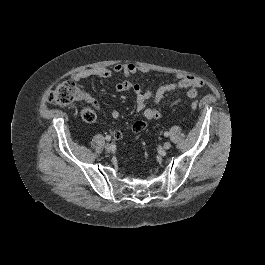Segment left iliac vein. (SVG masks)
<instances>
[{
  "mask_svg": "<svg viewBox=\"0 0 265 265\" xmlns=\"http://www.w3.org/2000/svg\"><path fill=\"white\" fill-rule=\"evenodd\" d=\"M163 147H164L165 150H169L171 148V143L170 142H166V143H164Z\"/></svg>",
  "mask_w": 265,
  "mask_h": 265,
  "instance_id": "obj_1",
  "label": "left iliac vein"
}]
</instances>
